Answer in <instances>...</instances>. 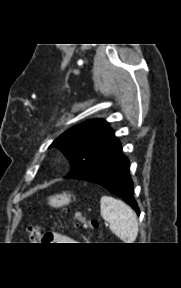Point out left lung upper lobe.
Returning <instances> with one entry per match:
<instances>
[{
	"instance_id": "1",
	"label": "left lung upper lobe",
	"mask_w": 181,
	"mask_h": 288,
	"mask_svg": "<svg viewBox=\"0 0 181 288\" xmlns=\"http://www.w3.org/2000/svg\"><path fill=\"white\" fill-rule=\"evenodd\" d=\"M120 145L114 131L103 119H92L60 135L50 147L61 149L71 160L66 178L81 179L106 160Z\"/></svg>"
}]
</instances>
